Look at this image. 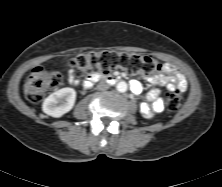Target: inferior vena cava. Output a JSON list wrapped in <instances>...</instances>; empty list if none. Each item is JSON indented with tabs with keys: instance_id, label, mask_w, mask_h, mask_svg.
<instances>
[{
	"instance_id": "obj_1",
	"label": "inferior vena cava",
	"mask_w": 222,
	"mask_h": 187,
	"mask_svg": "<svg viewBox=\"0 0 222 187\" xmlns=\"http://www.w3.org/2000/svg\"><path fill=\"white\" fill-rule=\"evenodd\" d=\"M97 88L99 90H106L109 88V84L106 81H100Z\"/></svg>"
}]
</instances>
